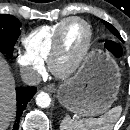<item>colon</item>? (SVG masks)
<instances>
[{
	"mask_svg": "<svg viewBox=\"0 0 130 130\" xmlns=\"http://www.w3.org/2000/svg\"><path fill=\"white\" fill-rule=\"evenodd\" d=\"M106 49L112 53L115 56H118L120 54V48L119 46L113 42L112 40H108L105 42Z\"/></svg>",
	"mask_w": 130,
	"mask_h": 130,
	"instance_id": "1",
	"label": "colon"
}]
</instances>
